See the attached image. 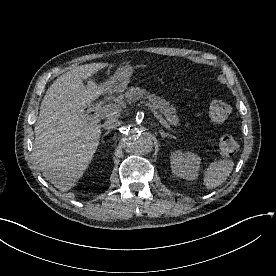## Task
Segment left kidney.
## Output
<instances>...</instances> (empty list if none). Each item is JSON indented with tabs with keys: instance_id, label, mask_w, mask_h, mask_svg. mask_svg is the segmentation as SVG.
I'll list each match as a JSON object with an SVG mask.
<instances>
[{
	"instance_id": "left-kidney-1",
	"label": "left kidney",
	"mask_w": 276,
	"mask_h": 276,
	"mask_svg": "<svg viewBox=\"0 0 276 276\" xmlns=\"http://www.w3.org/2000/svg\"><path fill=\"white\" fill-rule=\"evenodd\" d=\"M200 157L192 152L175 151L171 153L170 164L174 175L186 179L195 180L200 169Z\"/></svg>"
}]
</instances>
